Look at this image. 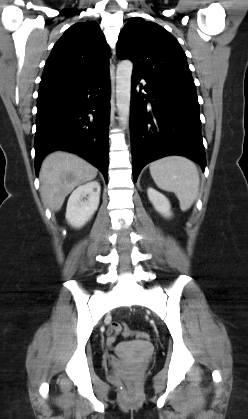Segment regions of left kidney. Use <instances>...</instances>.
I'll return each mask as SVG.
<instances>
[{"mask_svg": "<svg viewBox=\"0 0 248 419\" xmlns=\"http://www.w3.org/2000/svg\"><path fill=\"white\" fill-rule=\"evenodd\" d=\"M147 194L156 211L164 217H170L172 215L170 202L166 196L153 188H148Z\"/></svg>", "mask_w": 248, "mask_h": 419, "instance_id": "5707ae66", "label": "left kidney"}]
</instances>
